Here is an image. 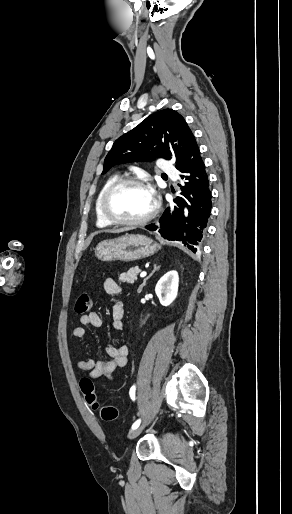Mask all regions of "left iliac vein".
<instances>
[{
    "label": "left iliac vein",
    "instance_id": "obj_1",
    "mask_svg": "<svg viewBox=\"0 0 292 514\" xmlns=\"http://www.w3.org/2000/svg\"><path fill=\"white\" fill-rule=\"evenodd\" d=\"M146 424H147V421H145L142 425H140L138 428H136L135 430H133V431L129 434L128 438H129V439H131V440H132V439H135V438H136V437H137V436H138V435L143 431V429L145 428Z\"/></svg>",
    "mask_w": 292,
    "mask_h": 514
}]
</instances>
